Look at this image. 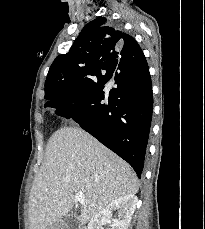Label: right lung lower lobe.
<instances>
[{"label":"right lung lower lobe","instance_id":"right-lung-lower-lobe-1","mask_svg":"<svg viewBox=\"0 0 205 229\" xmlns=\"http://www.w3.org/2000/svg\"><path fill=\"white\" fill-rule=\"evenodd\" d=\"M114 74L117 88L110 92L104 90L105 85L95 86L47 102L45 107L71 117L127 161L140 178L153 109L152 83L144 54L137 66L119 65Z\"/></svg>","mask_w":205,"mask_h":229}]
</instances>
